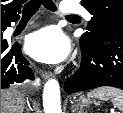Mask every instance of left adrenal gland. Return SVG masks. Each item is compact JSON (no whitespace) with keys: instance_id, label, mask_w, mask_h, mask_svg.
Returning a JSON list of instances; mask_svg holds the SVG:
<instances>
[{"instance_id":"obj_1","label":"left adrenal gland","mask_w":123,"mask_h":113,"mask_svg":"<svg viewBox=\"0 0 123 113\" xmlns=\"http://www.w3.org/2000/svg\"><path fill=\"white\" fill-rule=\"evenodd\" d=\"M82 110H83L82 107H80L79 111H76V109L73 107V108H72V113H83Z\"/></svg>"}]
</instances>
